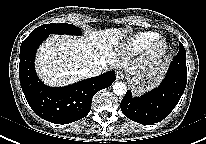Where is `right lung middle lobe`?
Wrapping results in <instances>:
<instances>
[{
	"instance_id": "obj_1",
	"label": "right lung middle lobe",
	"mask_w": 206,
	"mask_h": 144,
	"mask_svg": "<svg viewBox=\"0 0 206 144\" xmlns=\"http://www.w3.org/2000/svg\"><path fill=\"white\" fill-rule=\"evenodd\" d=\"M31 33H45L49 34H67V35H80L81 31L78 27L73 24L61 23V24H44L36 29H34Z\"/></svg>"
}]
</instances>
